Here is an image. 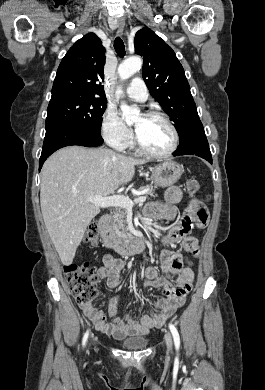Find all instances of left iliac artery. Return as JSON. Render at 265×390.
I'll use <instances>...</instances> for the list:
<instances>
[{"instance_id": "1", "label": "left iliac artery", "mask_w": 265, "mask_h": 390, "mask_svg": "<svg viewBox=\"0 0 265 390\" xmlns=\"http://www.w3.org/2000/svg\"><path fill=\"white\" fill-rule=\"evenodd\" d=\"M169 329L173 335V340H174V344H175V348L176 350L178 351L179 350V347H180V337H179V333L176 329V327L170 323L169 324Z\"/></svg>"}]
</instances>
